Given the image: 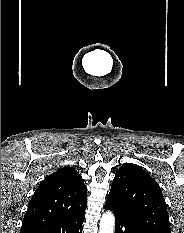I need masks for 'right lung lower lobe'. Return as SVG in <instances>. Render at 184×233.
Instances as JSON below:
<instances>
[{"label":"right lung lower lobe","mask_w":184,"mask_h":233,"mask_svg":"<svg viewBox=\"0 0 184 233\" xmlns=\"http://www.w3.org/2000/svg\"><path fill=\"white\" fill-rule=\"evenodd\" d=\"M84 219L85 215L69 221L50 224L30 231L29 233H82Z\"/></svg>","instance_id":"1"}]
</instances>
